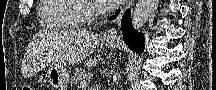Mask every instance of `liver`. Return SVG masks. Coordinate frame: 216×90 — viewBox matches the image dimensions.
I'll list each match as a JSON object with an SVG mask.
<instances>
[{"label": "liver", "mask_w": 216, "mask_h": 90, "mask_svg": "<svg viewBox=\"0 0 216 90\" xmlns=\"http://www.w3.org/2000/svg\"><path fill=\"white\" fill-rule=\"evenodd\" d=\"M98 34L89 30H67L65 34L66 62L68 66L78 64L94 52L99 44Z\"/></svg>", "instance_id": "obj_1"}]
</instances>
